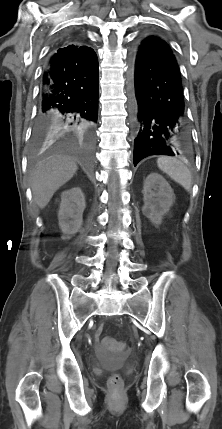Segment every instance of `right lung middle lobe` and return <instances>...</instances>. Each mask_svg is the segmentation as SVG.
Returning <instances> with one entry per match:
<instances>
[{
	"mask_svg": "<svg viewBox=\"0 0 222 429\" xmlns=\"http://www.w3.org/2000/svg\"><path fill=\"white\" fill-rule=\"evenodd\" d=\"M54 135V132L44 128H36L33 132L34 148L41 146Z\"/></svg>",
	"mask_w": 222,
	"mask_h": 429,
	"instance_id": "obj_1",
	"label": "right lung middle lobe"
}]
</instances>
